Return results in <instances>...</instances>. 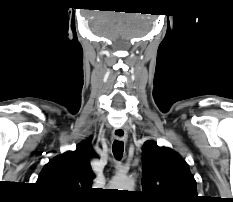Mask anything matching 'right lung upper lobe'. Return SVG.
<instances>
[{
  "instance_id": "right-lung-upper-lobe-1",
  "label": "right lung upper lobe",
  "mask_w": 233,
  "mask_h": 202,
  "mask_svg": "<svg viewBox=\"0 0 233 202\" xmlns=\"http://www.w3.org/2000/svg\"><path fill=\"white\" fill-rule=\"evenodd\" d=\"M96 153L90 145V138L50 160L41 171L37 184L60 196H80L90 190L94 173L90 159Z\"/></svg>"
}]
</instances>
